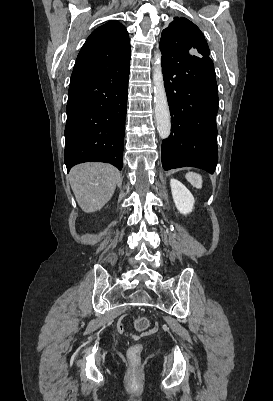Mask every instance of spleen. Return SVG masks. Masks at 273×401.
<instances>
[{
	"label": "spleen",
	"mask_w": 273,
	"mask_h": 401,
	"mask_svg": "<svg viewBox=\"0 0 273 401\" xmlns=\"http://www.w3.org/2000/svg\"><path fill=\"white\" fill-rule=\"evenodd\" d=\"M187 180L193 184V186H197V188H202V176L201 174H197V172H187L186 174Z\"/></svg>",
	"instance_id": "3e777b00"
}]
</instances>
